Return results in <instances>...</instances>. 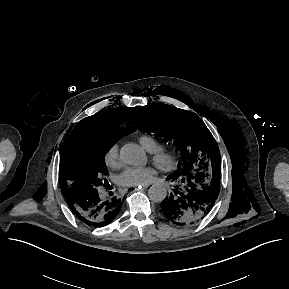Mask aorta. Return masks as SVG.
Returning <instances> with one entry per match:
<instances>
[{
    "label": "aorta",
    "instance_id": "obj_1",
    "mask_svg": "<svg viewBox=\"0 0 289 289\" xmlns=\"http://www.w3.org/2000/svg\"><path fill=\"white\" fill-rule=\"evenodd\" d=\"M120 157L124 163L132 166H142L147 162L145 151L133 143H128L121 148ZM166 195L167 190L161 184L152 185L148 191L149 198L154 202H162Z\"/></svg>",
    "mask_w": 289,
    "mask_h": 289
}]
</instances>
